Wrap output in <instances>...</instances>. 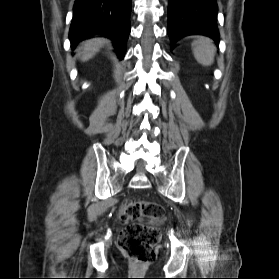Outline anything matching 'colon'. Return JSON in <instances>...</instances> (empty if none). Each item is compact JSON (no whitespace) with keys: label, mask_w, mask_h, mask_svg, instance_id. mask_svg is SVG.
Segmentation results:
<instances>
[{"label":"colon","mask_w":279,"mask_h":279,"mask_svg":"<svg viewBox=\"0 0 279 279\" xmlns=\"http://www.w3.org/2000/svg\"><path fill=\"white\" fill-rule=\"evenodd\" d=\"M165 215L164 207L152 201L129 199L121 206L125 222L118 245L130 259L148 263L155 259L156 247L161 239L158 221Z\"/></svg>","instance_id":"obj_1"}]
</instances>
